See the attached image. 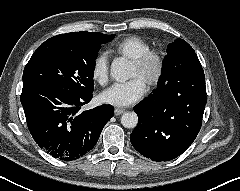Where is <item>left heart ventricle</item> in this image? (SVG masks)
<instances>
[{"mask_svg":"<svg viewBox=\"0 0 240 191\" xmlns=\"http://www.w3.org/2000/svg\"><path fill=\"white\" fill-rule=\"evenodd\" d=\"M153 70H154L153 66H150L146 70L140 71L132 64L131 70H130V77H137L143 82H145L146 78L152 75Z\"/></svg>","mask_w":240,"mask_h":191,"instance_id":"b2bd125f","label":"left heart ventricle"}]
</instances>
